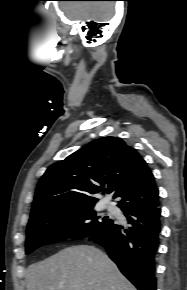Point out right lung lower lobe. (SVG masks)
Instances as JSON below:
<instances>
[{
	"mask_svg": "<svg viewBox=\"0 0 187 290\" xmlns=\"http://www.w3.org/2000/svg\"><path fill=\"white\" fill-rule=\"evenodd\" d=\"M128 230L112 223L89 237L102 245L120 271L138 290H156L155 260L161 233L159 202L123 210Z\"/></svg>",
	"mask_w": 187,
	"mask_h": 290,
	"instance_id": "1",
	"label": "right lung lower lobe"
}]
</instances>
